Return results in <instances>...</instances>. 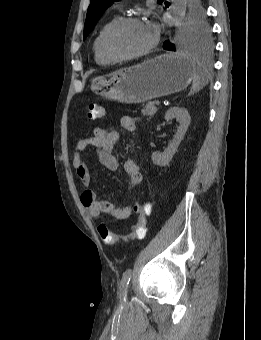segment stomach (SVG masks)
Listing matches in <instances>:
<instances>
[{
    "instance_id": "obj_1",
    "label": "stomach",
    "mask_w": 261,
    "mask_h": 340,
    "mask_svg": "<svg viewBox=\"0 0 261 340\" xmlns=\"http://www.w3.org/2000/svg\"><path fill=\"white\" fill-rule=\"evenodd\" d=\"M194 71V64L188 58L163 54L97 77L92 81L91 90L121 103H143L184 90L191 83Z\"/></svg>"
}]
</instances>
